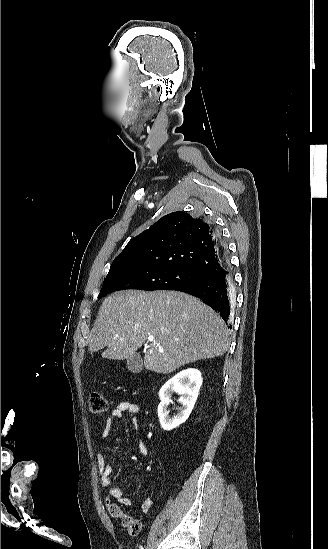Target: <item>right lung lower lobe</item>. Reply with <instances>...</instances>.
<instances>
[{"instance_id":"obj_1","label":"right lung lower lobe","mask_w":328,"mask_h":549,"mask_svg":"<svg viewBox=\"0 0 328 549\" xmlns=\"http://www.w3.org/2000/svg\"><path fill=\"white\" fill-rule=\"evenodd\" d=\"M217 241L219 242L220 251L224 253L225 257L223 271H219L211 276H205L199 281L181 286L175 290L201 298L213 310L219 313L227 324L230 319L231 297L229 289L232 286V279L226 262V250L218 235Z\"/></svg>"}]
</instances>
